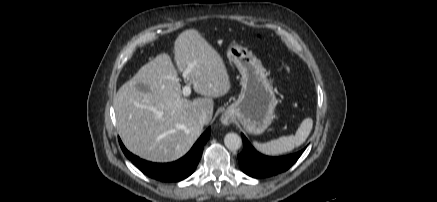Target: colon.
<instances>
[{
    "label": "colon",
    "instance_id": "1",
    "mask_svg": "<svg viewBox=\"0 0 437 202\" xmlns=\"http://www.w3.org/2000/svg\"><path fill=\"white\" fill-rule=\"evenodd\" d=\"M283 66H284V68H285V70H286L287 72L290 71V67H289L287 64H283Z\"/></svg>",
    "mask_w": 437,
    "mask_h": 202
}]
</instances>
